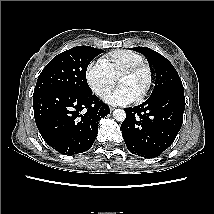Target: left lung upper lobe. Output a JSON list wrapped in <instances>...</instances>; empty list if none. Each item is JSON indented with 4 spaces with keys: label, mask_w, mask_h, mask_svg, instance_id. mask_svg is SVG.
Returning a JSON list of instances; mask_svg holds the SVG:
<instances>
[{
    "label": "left lung upper lobe",
    "mask_w": 214,
    "mask_h": 214,
    "mask_svg": "<svg viewBox=\"0 0 214 214\" xmlns=\"http://www.w3.org/2000/svg\"><path fill=\"white\" fill-rule=\"evenodd\" d=\"M131 49L145 55L147 60L154 67L156 80L154 89L149 98L156 97L168 91L184 90L177 71L164 56L146 47H134Z\"/></svg>",
    "instance_id": "1"
}]
</instances>
